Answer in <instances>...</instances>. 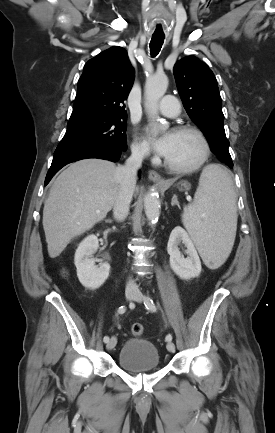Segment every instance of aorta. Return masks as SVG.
Wrapping results in <instances>:
<instances>
[{"mask_svg":"<svg viewBox=\"0 0 275 433\" xmlns=\"http://www.w3.org/2000/svg\"><path fill=\"white\" fill-rule=\"evenodd\" d=\"M168 79L165 75H155L146 80L145 84V108L149 117L155 122L156 133L164 132L168 129V123H160L158 117V102L167 90ZM144 209L150 224L158 221L160 215V199L155 190H151L145 195Z\"/></svg>","mask_w":275,"mask_h":433,"instance_id":"obj_1","label":"aorta"}]
</instances>
